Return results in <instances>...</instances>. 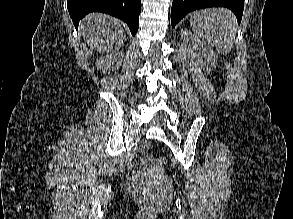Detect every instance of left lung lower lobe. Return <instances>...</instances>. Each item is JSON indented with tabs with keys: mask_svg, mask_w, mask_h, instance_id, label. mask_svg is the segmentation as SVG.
I'll return each mask as SVG.
<instances>
[{
	"mask_svg": "<svg viewBox=\"0 0 293 219\" xmlns=\"http://www.w3.org/2000/svg\"><path fill=\"white\" fill-rule=\"evenodd\" d=\"M207 7L229 8L240 23L243 15L244 0H173L171 9V24L174 27L187 13Z\"/></svg>",
	"mask_w": 293,
	"mask_h": 219,
	"instance_id": "0a47b994",
	"label": "left lung lower lobe"
}]
</instances>
